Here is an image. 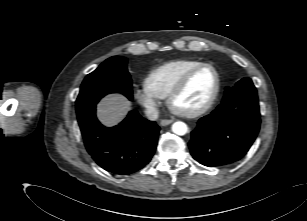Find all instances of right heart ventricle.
Returning <instances> with one entry per match:
<instances>
[{
	"label": "right heart ventricle",
	"mask_w": 307,
	"mask_h": 221,
	"mask_svg": "<svg viewBox=\"0 0 307 221\" xmlns=\"http://www.w3.org/2000/svg\"><path fill=\"white\" fill-rule=\"evenodd\" d=\"M203 62L197 60H175L152 69L144 79L145 89L158 99L168 97L181 78Z\"/></svg>",
	"instance_id": "obj_1"
}]
</instances>
